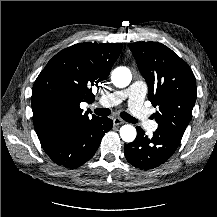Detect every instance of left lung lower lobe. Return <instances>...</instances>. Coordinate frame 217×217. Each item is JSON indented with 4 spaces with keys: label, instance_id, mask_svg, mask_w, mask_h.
Wrapping results in <instances>:
<instances>
[{
    "label": "left lung lower lobe",
    "instance_id": "left-lung-lower-lobe-1",
    "mask_svg": "<svg viewBox=\"0 0 217 217\" xmlns=\"http://www.w3.org/2000/svg\"><path fill=\"white\" fill-rule=\"evenodd\" d=\"M136 139L124 146L127 161L136 168L148 170L166 162L175 152L181 138L168 130L158 128L151 138L141 127H136Z\"/></svg>",
    "mask_w": 217,
    "mask_h": 217
}]
</instances>
